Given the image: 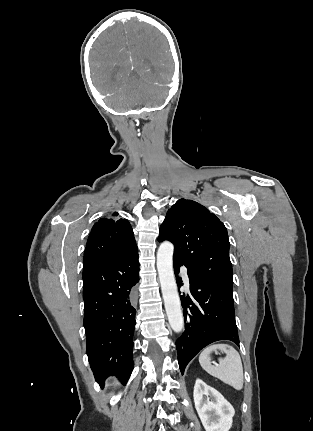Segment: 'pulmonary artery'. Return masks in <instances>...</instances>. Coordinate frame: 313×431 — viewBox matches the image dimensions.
<instances>
[{
  "instance_id": "1",
  "label": "pulmonary artery",
  "mask_w": 313,
  "mask_h": 431,
  "mask_svg": "<svg viewBox=\"0 0 313 431\" xmlns=\"http://www.w3.org/2000/svg\"><path fill=\"white\" fill-rule=\"evenodd\" d=\"M182 277L186 286H189V277L186 268H181Z\"/></svg>"
}]
</instances>
